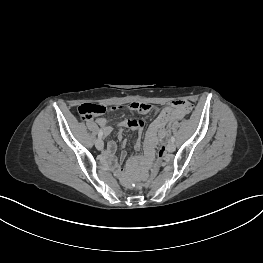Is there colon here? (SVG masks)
I'll list each match as a JSON object with an SVG mask.
<instances>
[{"label":"colon","mask_w":263,"mask_h":263,"mask_svg":"<svg viewBox=\"0 0 263 263\" xmlns=\"http://www.w3.org/2000/svg\"><path fill=\"white\" fill-rule=\"evenodd\" d=\"M173 104L176 108L177 107L184 108L185 114H187L191 109V104L188 101H176ZM124 110L127 113L139 112V114L141 115H147L150 112V107L148 103L145 101H140L138 103L127 102L124 105ZM105 111H106V107L101 104L86 103L78 107V113L82 119H89L92 116L102 114ZM165 126H166L165 138L162 144L160 145L161 148L158 150L157 157L155 158L152 166L150 167L149 170L150 173L148 174L149 176L144 182L132 184L131 185L132 189L149 187L154 182V179L158 172V168L160 167L161 161L165 156V146H166L165 144H167L168 141L170 140L172 133V126L169 125L168 123Z\"/></svg>","instance_id":"5ec220e1"}]
</instances>
